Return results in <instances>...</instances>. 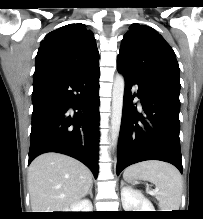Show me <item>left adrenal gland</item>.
<instances>
[{
  "mask_svg": "<svg viewBox=\"0 0 203 219\" xmlns=\"http://www.w3.org/2000/svg\"><path fill=\"white\" fill-rule=\"evenodd\" d=\"M123 185H124V181H123V180H121V187H123Z\"/></svg>",
  "mask_w": 203,
  "mask_h": 219,
  "instance_id": "a2214340",
  "label": "left adrenal gland"
}]
</instances>
